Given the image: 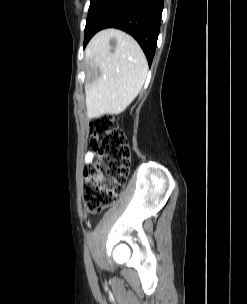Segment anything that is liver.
<instances>
[{"label":"liver","instance_id":"liver-1","mask_svg":"<svg viewBox=\"0 0 247 304\" xmlns=\"http://www.w3.org/2000/svg\"><path fill=\"white\" fill-rule=\"evenodd\" d=\"M116 39L112 51L110 39ZM94 80L85 86L87 117L123 112L144 84L148 65L138 43L117 29L97 33L85 50Z\"/></svg>","mask_w":247,"mask_h":304}]
</instances>
